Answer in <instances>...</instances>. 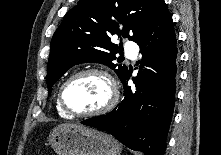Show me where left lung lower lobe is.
I'll use <instances>...</instances> for the list:
<instances>
[{"mask_svg":"<svg viewBox=\"0 0 221 155\" xmlns=\"http://www.w3.org/2000/svg\"><path fill=\"white\" fill-rule=\"evenodd\" d=\"M136 43L142 62L151 69L133 78L135 90L127 86L130 73L121 80L124 100L110 113L82 121L112 134L122 144L145 155H163L171 123L176 90V37L165 2L147 22ZM146 75V76H145Z\"/></svg>","mask_w":221,"mask_h":155,"instance_id":"1","label":"left lung lower lobe"}]
</instances>
